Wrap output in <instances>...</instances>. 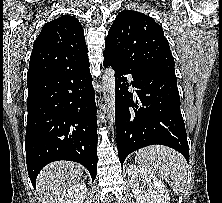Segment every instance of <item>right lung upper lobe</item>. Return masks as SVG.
I'll use <instances>...</instances> for the list:
<instances>
[{
    "label": "right lung upper lobe",
    "mask_w": 222,
    "mask_h": 203,
    "mask_svg": "<svg viewBox=\"0 0 222 203\" xmlns=\"http://www.w3.org/2000/svg\"><path fill=\"white\" fill-rule=\"evenodd\" d=\"M84 31L73 16L63 15L45 24L36 38L27 80L51 72L82 69L90 65Z\"/></svg>",
    "instance_id": "1"
}]
</instances>
